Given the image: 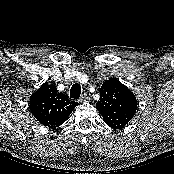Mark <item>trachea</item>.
Listing matches in <instances>:
<instances>
[{
    "mask_svg": "<svg viewBox=\"0 0 174 174\" xmlns=\"http://www.w3.org/2000/svg\"><path fill=\"white\" fill-rule=\"evenodd\" d=\"M81 94V86L79 84L72 85L70 89V97L73 99H78Z\"/></svg>",
    "mask_w": 174,
    "mask_h": 174,
    "instance_id": "1",
    "label": "trachea"
}]
</instances>
